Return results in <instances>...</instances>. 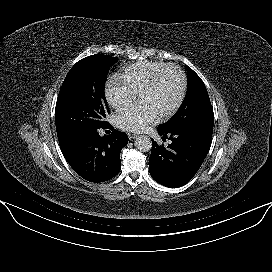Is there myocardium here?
I'll use <instances>...</instances> for the list:
<instances>
[{"mask_svg":"<svg viewBox=\"0 0 272 272\" xmlns=\"http://www.w3.org/2000/svg\"><path fill=\"white\" fill-rule=\"evenodd\" d=\"M168 69H175L179 72V74L181 76V89H180V93H179L177 101L169 110H167L166 112H164L160 115L161 119H168V118L172 117L180 109V107L183 104V101H184L185 95H186V91H187V77H186V74L183 71V69L180 66L173 64V63L165 65L164 67H162L159 71H157L155 73V75L150 79V81L143 87V89L139 93V98H140L142 95L153 90L156 87V85L158 84L162 75Z\"/></svg>","mask_w":272,"mask_h":272,"instance_id":"1","label":"myocardium"}]
</instances>
